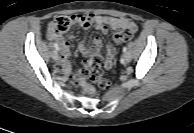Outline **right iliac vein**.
I'll return each instance as SVG.
<instances>
[{
	"instance_id": "1",
	"label": "right iliac vein",
	"mask_w": 194,
	"mask_h": 133,
	"mask_svg": "<svg viewBox=\"0 0 194 133\" xmlns=\"http://www.w3.org/2000/svg\"><path fill=\"white\" fill-rule=\"evenodd\" d=\"M52 58H53L55 61H58V60H59V55H58L57 51H53V53H52Z\"/></svg>"
}]
</instances>
